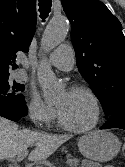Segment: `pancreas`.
Returning a JSON list of instances; mask_svg holds the SVG:
<instances>
[{
	"label": "pancreas",
	"mask_w": 125,
	"mask_h": 167,
	"mask_svg": "<svg viewBox=\"0 0 125 167\" xmlns=\"http://www.w3.org/2000/svg\"><path fill=\"white\" fill-rule=\"evenodd\" d=\"M68 160H71L70 167H77L79 164V160L76 158L68 157ZM106 167H111V166H106Z\"/></svg>",
	"instance_id": "obj_1"
}]
</instances>
